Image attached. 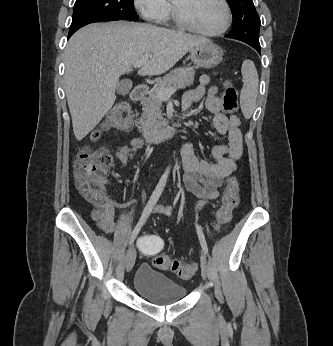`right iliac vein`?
I'll list each match as a JSON object with an SVG mask.
<instances>
[{
    "label": "right iliac vein",
    "instance_id": "63e3f726",
    "mask_svg": "<svg viewBox=\"0 0 333 346\" xmlns=\"http://www.w3.org/2000/svg\"><path fill=\"white\" fill-rule=\"evenodd\" d=\"M136 260V250L134 246H131L125 256V268L127 271H130L135 263Z\"/></svg>",
    "mask_w": 333,
    "mask_h": 346
}]
</instances>
